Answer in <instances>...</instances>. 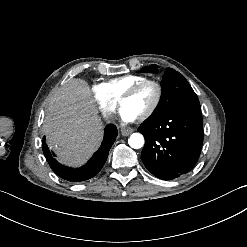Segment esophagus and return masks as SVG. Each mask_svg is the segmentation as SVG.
<instances>
[{"mask_svg": "<svg viewBox=\"0 0 247 247\" xmlns=\"http://www.w3.org/2000/svg\"><path fill=\"white\" fill-rule=\"evenodd\" d=\"M134 131V129L133 128H131V127H121V134L123 135V136H128V135H130L132 132Z\"/></svg>", "mask_w": 247, "mask_h": 247, "instance_id": "34e87169", "label": "esophagus"}]
</instances>
